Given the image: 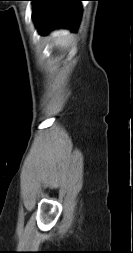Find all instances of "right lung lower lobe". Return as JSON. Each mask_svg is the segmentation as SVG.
Segmentation results:
<instances>
[{
	"instance_id": "right-lung-lower-lobe-1",
	"label": "right lung lower lobe",
	"mask_w": 133,
	"mask_h": 253,
	"mask_svg": "<svg viewBox=\"0 0 133 253\" xmlns=\"http://www.w3.org/2000/svg\"><path fill=\"white\" fill-rule=\"evenodd\" d=\"M33 17L41 34L46 29L66 27L76 31L82 14V0H31Z\"/></svg>"
}]
</instances>
